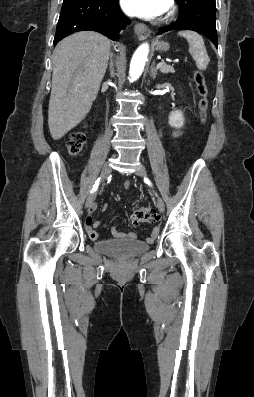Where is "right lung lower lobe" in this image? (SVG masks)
Instances as JSON below:
<instances>
[{
	"mask_svg": "<svg viewBox=\"0 0 254 397\" xmlns=\"http://www.w3.org/2000/svg\"><path fill=\"white\" fill-rule=\"evenodd\" d=\"M118 0H64L53 44L78 31H97L112 40L129 24Z\"/></svg>",
	"mask_w": 254,
	"mask_h": 397,
	"instance_id": "98d812e1",
	"label": "right lung lower lobe"
}]
</instances>
